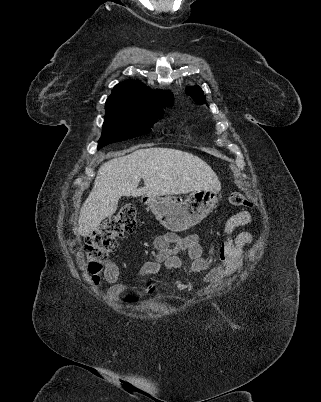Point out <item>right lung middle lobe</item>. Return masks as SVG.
Instances as JSON below:
<instances>
[{
	"label": "right lung middle lobe",
	"instance_id": "1",
	"mask_svg": "<svg viewBox=\"0 0 321 402\" xmlns=\"http://www.w3.org/2000/svg\"><path fill=\"white\" fill-rule=\"evenodd\" d=\"M105 110V121L98 141V149L110 143L149 132L156 120L163 116L162 108L117 102H106Z\"/></svg>",
	"mask_w": 321,
	"mask_h": 402
}]
</instances>
